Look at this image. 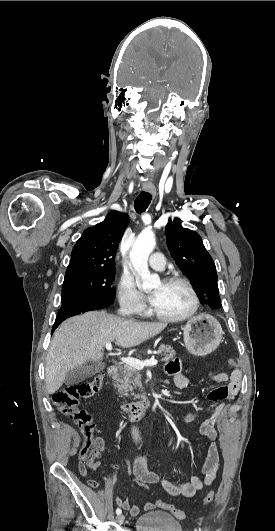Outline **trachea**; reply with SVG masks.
Listing matches in <instances>:
<instances>
[{
	"instance_id": "3493384b",
	"label": "trachea",
	"mask_w": 275,
	"mask_h": 531,
	"mask_svg": "<svg viewBox=\"0 0 275 531\" xmlns=\"http://www.w3.org/2000/svg\"><path fill=\"white\" fill-rule=\"evenodd\" d=\"M151 199V194L142 191L134 201V208L137 213H143L144 211H146L151 202Z\"/></svg>"
}]
</instances>
